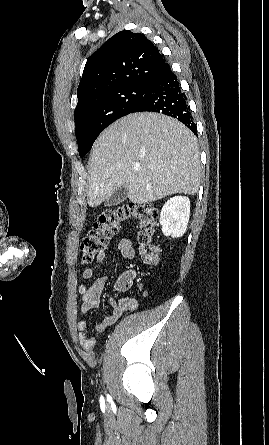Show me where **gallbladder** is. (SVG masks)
<instances>
[{
	"mask_svg": "<svg viewBox=\"0 0 269 445\" xmlns=\"http://www.w3.org/2000/svg\"><path fill=\"white\" fill-rule=\"evenodd\" d=\"M128 198V190L125 186L119 187L105 202V206L112 207L124 202Z\"/></svg>",
	"mask_w": 269,
	"mask_h": 445,
	"instance_id": "obj_1",
	"label": "gallbladder"
}]
</instances>
